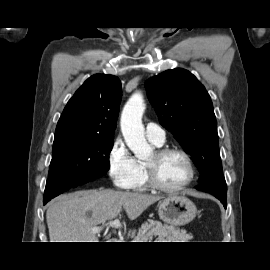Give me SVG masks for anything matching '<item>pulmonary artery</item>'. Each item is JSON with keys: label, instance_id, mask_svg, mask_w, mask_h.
Instances as JSON below:
<instances>
[{"label": "pulmonary artery", "instance_id": "e3ab8cb5", "mask_svg": "<svg viewBox=\"0 0 270 270\" xmlns=\"http://www.w3.org/2000/svg\"><path fill=\"white\" fill-rule=\"evenodd\" d=\"M146 136L150 141H153L159 145L165 142V131L163 128L155 123H148L145 130Z\"/></svg>", "mask_w": 270, "mask_h": 270}]
</instances>
